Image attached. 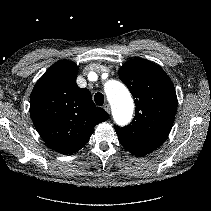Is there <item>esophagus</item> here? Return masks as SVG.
<instances>
[{
	"instance_id": "obj_1",
	"label": "esophagus",
	"mask_w": 211,
	"mask_h": 211,
	"mask_svg": "<svg viewBox=\"0 0 211 211\" xmlns=\"http://www.w3.org/2000/svg\"><path fill=\"white\" fill-rule=\"evenodd\" d=\"M104 110L107 112V113H110V105L109 104H105L104 105Z\"/></svg>"
}]
</instances>
